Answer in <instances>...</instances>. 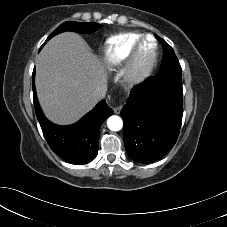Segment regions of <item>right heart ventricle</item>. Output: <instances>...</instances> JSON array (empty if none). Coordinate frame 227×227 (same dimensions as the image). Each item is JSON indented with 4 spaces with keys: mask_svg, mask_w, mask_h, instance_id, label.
<instances>
[{
    "mask_svg": "<svg viewBox=\"0 0 227 227\" xmlns=\"http://www.w3.org/2000/svg\"><path fill=\"white\" fill-rule=\"evenodd\" d=\"M142 36L143 34L138 32H122L109 37L102 49L105 65L110 69L121 66Z\"/></svg>",
    "mask_w": 227,
    "mask_h": 227,
    "instance_id": "1",
    "label": "right heart ventricle"
}]
</instances>
